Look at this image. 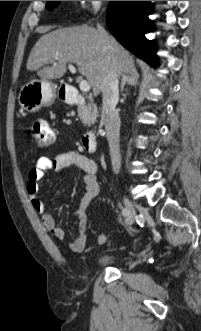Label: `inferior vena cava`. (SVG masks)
I'll return each mask as SVG.
<instances>
[{"label":"inferior vena cava","mask_w":201,"mask_h":331,"mask_svg":"<svg viewBox=\"0 0 201 331\" xmlns=\"http://www.w3.org/2000/svg\"><path fill=\"white\" fill-rule=\"evenodd\" d=\"M98 30L104 29L98 25ZM118 73L111 70L105 84L102 86V119L105 124L111 162L114 172H119L121 167V156L119 147L120 118L116 111L119 100Z\"/></svg>","instance_id":"obj_1"}]
</instances>
